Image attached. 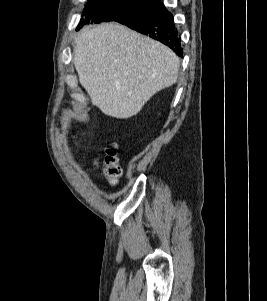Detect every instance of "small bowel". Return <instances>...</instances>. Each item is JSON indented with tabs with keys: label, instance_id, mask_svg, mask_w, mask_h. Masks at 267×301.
I'll return each mask as SVG.
<instances>
[{
	"label": "small bowel",
	"instance_id": "c3829d8e",
	"mask_svg": "<svg viewBox=\"0 0 267 301\" xmlns=\"http://www.w3.org/2000/svg\"><path fill=\"white\" fill-rule=\"evenodd\" d=\"M75 145H77V146H78V142H76V141H75Z\"/></svg>",
	"mask_w": 267,
	"mask_h": 301
}]
</instances>
